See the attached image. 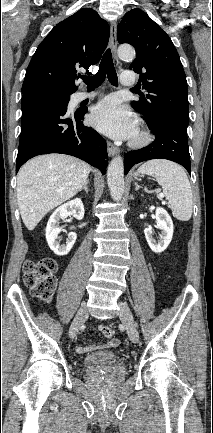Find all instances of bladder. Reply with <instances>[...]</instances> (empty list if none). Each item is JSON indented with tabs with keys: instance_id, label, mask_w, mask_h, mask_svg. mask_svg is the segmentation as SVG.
I'll use <instances>...</instances> for the list:
<instances>
[{
	"instance_id": "bladder-1",
	"label": "bladder",
	"mask_w": 213,
	"mask_h": 433,
	"mask_svg": "<svg viewBox=\"0 0 213 433\" xmlns=\"http://www.w3.org/2000/svg\"><path fill=\"white\" fill-rule=\"evenodd\" d=\"M119 356L114 351H100L92 353L84 358L83 364L87 368H95L117 363Z\"/></svg>"
}]
</instances>
